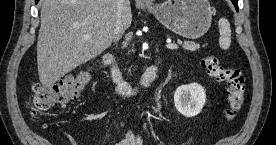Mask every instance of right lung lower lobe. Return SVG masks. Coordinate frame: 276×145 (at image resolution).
<instances>
[{"mask_svg":"<svg viewBox=\"0 0 276 145\" xmlns=\"http://www.w3.org/2000/svg\"><path fill=\"white\" fill-rule=\"evenodd\" d=\"M39 0H35L36 3H38Z\"/></svg>","mask_w":276,"mask_h":145,"instance_id":"98d812e1","label":"right lung lower lobe"}]
</instances>
